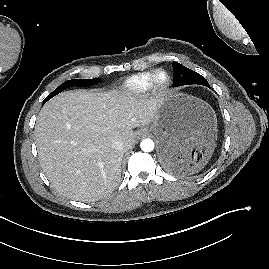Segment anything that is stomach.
<instances>
[{
  "instance_id": "1",
  "label": "stomach",
  "mask_w": 269,
  "mask_h": 269,
  "mask_svg": "<svg viewBox=\"0 0 269 269\" xmlns=\"http://www.w3.org/2000/svg\"><path fill=\"white\" fill-rule=\"evenodd\" d=\"M150 130L157 137L163 166L183 171L211 157L216 146L217 118L212 107L203 100L171 92L158 99ZM167 149L175 153L173 162L165 161Z\"/></svg>"
}]
</instances>
